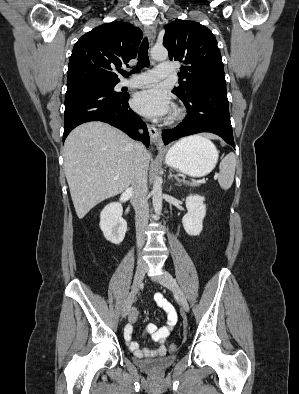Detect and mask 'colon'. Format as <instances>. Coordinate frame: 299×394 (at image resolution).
I'll use <instances>...</instances> for the list:
<instances>
[{"mask_svg":"<svg viewBox=\"0 0 299 394\" xmlns=\"http://www.w3.org/2000/svg\"><path fill=\"white\" fill-rule=\"evenodd\" d=\"M174 348H175L174 345H170V346H169V349H170V350H174Z\"/></svg>","mask_w":299,"mask_h":394,"instance_id":"5ec220e1","label":"colon"}]
</instances>
